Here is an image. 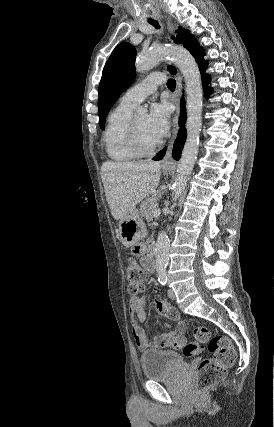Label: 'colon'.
Masks as SVG:
<instances>
[{"label":"colon","mask_w":274,"mask_h":427,"mask_svg":"<svg viewBox=\"0 0 274 427\" xmlns=\"http://www.w3.org/2000/svg\"><path fill=\"white\" fill-rule=\"evenodd\" d=\"M131 256H140V245H131ZM128 290L134 294L139 291L143 272L140 265L134 258L129 257L127 266ZM195 342H187L183 337L171 336L159 342L160 350H179L185 358L196 356L198 352L197 344L208 346L211 357L202 359L197 368L196 386L193 387L194 395H205L206 390L212 386L222 383L226 372L236 359V351L233 344L223 335L211 336L207 326L198 325L193 327Z\"/></svg>","instance_id":"1"}]
</instances>
